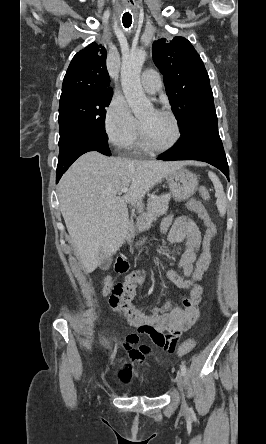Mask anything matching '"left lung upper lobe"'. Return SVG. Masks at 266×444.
<instances>
[{
    "label": "left lung upper lobe",
    "instance_id": "left-lung-upper-lobe-1",
    "mask_svg": "<svg viewBox=\"0 0 266 444\" xmlns=\"http://www.w3.org/2000/svg\"><path fill=\"white\" fill-rule=\"evenodd\" d=\"M152 54L164 75L166 93L181 130L196 117L215 110L208 73L187 39L161 38L154 42Z\"/></svg>",
    "mask_w": 266,
    "mask_h": 444
}]
</instances>
